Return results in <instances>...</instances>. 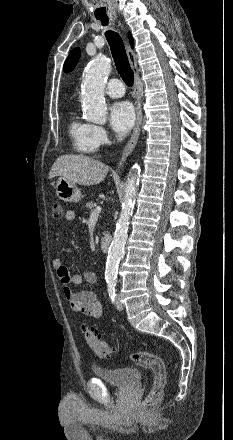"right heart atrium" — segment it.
<instances>
[{
	"label": "right heart atrium",
	"mask_w": 233,
	"mask_h": 440,
	"mask_svg": "<svg viewBox=\"0 0 233 440\" xmlns=\"http://www.w3.org/2000/svg\"><path fill=\"white\" fill-rule=\"evenodd\" d=\"M93 138L97 147H104L110 143L107 131L98 125H93Z\"/></svg>",
	"instance_id": "right-heart-atrium-1"
}]
</instances>
